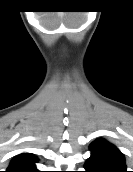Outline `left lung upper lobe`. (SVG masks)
<instances>
[{
    "instance_id": "obj_1",
    "label": "left lung upper lobe",
    "mask_w": 133,
    "mask_h": 172,
    "mask_svg": "<svg viewBox=\"0 0 133 172\" xmlns=\"http://www.w3.org/2000/svg\"><path fill=\"white\" fill-rule=\"evenodd\" d=\"M86 172H127L125 157L113 144L99 138L90 145Z\"/></svg>"
}]
</instances>
